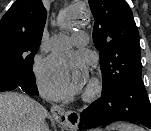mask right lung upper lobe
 <instances>
[{
  "label": "right lung upper lobe",
  "mask_w": 151,
  "mask_h": 131,
  "mask_svg": "<svg viewBox=\"0 0 151 131\" xmlns=\"http://www.w3.org/2000/svg\"><path fill=\"white\" fill-rule=\"evenodd\" d=\"M45 20L46 10L41 0H16L0 21V53L22 49L35 54Z\"/></svg>",
  "instance_id": "cb5924a9"
}]
</instances>
